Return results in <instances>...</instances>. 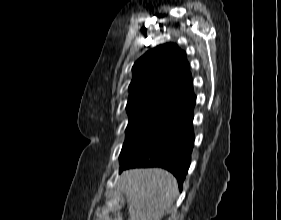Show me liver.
I'll use <instances>...</instances> for the list:
<instances>
[{"mask_svg": "<svg viewBox=\"0 0 281 220\" xmlns=\"http://www.w3.org/2000/svg\"><path fill=\"white\" fill-rule=\"evenodd\" d=\"M129 220H161L178 196L176 178L161 168L130 169L121 177Z\"/></svg>", "mask_w": 281, "mask_h": 220, "instance_id": "6515ba94", "label": "liver"}]
</instances>
